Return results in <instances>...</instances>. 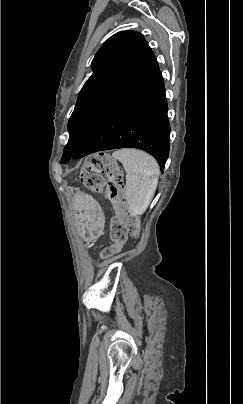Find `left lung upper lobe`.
<instances>
[{"mask_svg":"<svg viewBox=\"0 0 243 404\" xmlns=\"http://www.w3.org/2000/svg\"><path fill=\"white\" fill-rule=\"evenodd\" d=\"M93 74L82 87L68 122L69 141L61 162L80 148L98 118L159 71L142 34L122 31L110 37L92 61Z\"/></svg>","mask_w":243,"mask_h":404,"instance_id":"1","label":"left lung upper lobe"}]
</instances>
